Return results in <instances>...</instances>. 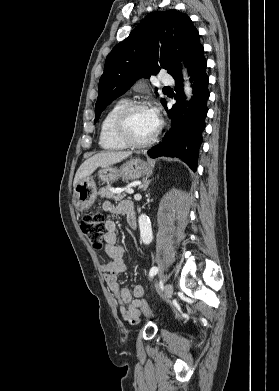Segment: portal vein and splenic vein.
<instances>
[{"label": "portal vein and splenic vein", "mask_w": 279, "mask_h": 391, "mask_svg": "<svg viewBox=\"0 0 279 391\" xmlns=\"http://www.w3.org/2000/svg\"><path fill=\"white\" fill-rule=\"evenodd\" d=\"M126 193H127V194H133V193H134V190L131 189V188H128V189H126Z\"/></svg>", "instance_id": "obj_1"}]
</instances>
